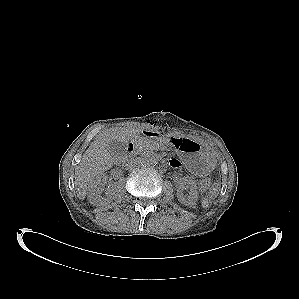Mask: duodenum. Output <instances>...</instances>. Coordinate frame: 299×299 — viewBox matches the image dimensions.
Segmentation results:
<instances>
[{
	"mask_svg": "<svg viewBox=\"0 0 299 299\" xmlns=\"http://www.w3.org/2000/svg\"><path fill=\"white\" fill-rule=\"evenodd\" d=\"M143 135H145V136H150V135H152V133L149 132V131H144V132H143ZM135 147H136V145H135V142H134V141L129 142L128 145H127V150H128V152H129V153H133V152L135 151Z\"/></svg>",
	"mask_w": 299,
	"mask_h": 299,
	"instance_id": "410a0bca",
	"label": "duodenum"
}]
</instances>
